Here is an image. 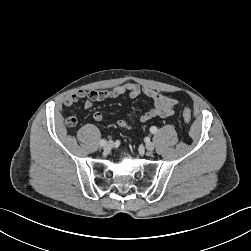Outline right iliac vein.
Returning a JSON list of instances; mask_svg holds the SVG:
<instances>
[{"label":"right iliac vein","instance_id":"right-iliac-vein-1","mask_svg":"<svg viewBox=\"0 0 251 251\" xmlns=\"http://www.w3.org/2000/svg\"><path fill=\"white\" fill-rule=\"evenodd\" d=\"M113 142H108V143H106V145L104 146V150L105 151H110L112 148H113Z\"/></svg>","mask_w":251,"mask_h":251}]
</instances>
